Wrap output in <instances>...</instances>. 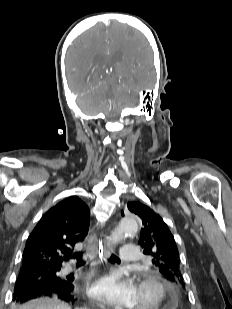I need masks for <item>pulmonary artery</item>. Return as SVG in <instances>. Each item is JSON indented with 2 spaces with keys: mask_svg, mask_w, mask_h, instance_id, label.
<instances>
[{
  "mask_svg": "<svg viewBox=\"0 0 232 309\" xmlns=\"http://www.w3.org/2000/svg\"><path fill=\"white\" fill-rule=\"evenodd\" d=\"M120 258L123 262H126V263L137 262L139 260L137 246L127 245V246L122 247V249L120 251ZM74 270L75 269L73 267L66 266L65 268H63L62 272L64 274H67V273H70Z\"/></svg>",
  "mask_w": 232,
  "mask_h": 309,
  "instance_id": "pulmonary-artery-1",
  "label": "pulmonary artery"
}]
</instances>
